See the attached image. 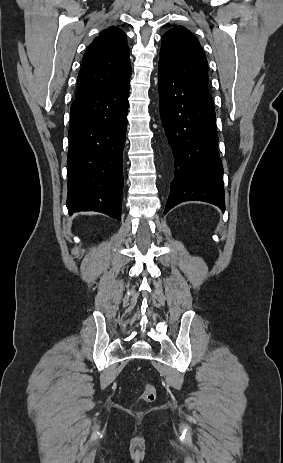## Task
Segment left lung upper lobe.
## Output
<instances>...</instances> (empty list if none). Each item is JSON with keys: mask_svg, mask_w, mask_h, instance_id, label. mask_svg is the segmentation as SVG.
Listing matches in <instances>:
<instances>
[{"mask_svg": "<svg viewBox=\"0 0 283 463\" xmlns=\"http://www.w3.org/2000/svg\"><path fill=\"white\" fill-rule=\"evenodd\" d=\"M159 62L192 87L209 94L207 59L198 39L185 27H174L162 36Z\"/></svg>", "mask_w": 283, "mask_h": 463, "instance_id": "5c2ea615", "label": "left lung upper lobe"}]
</instances>
